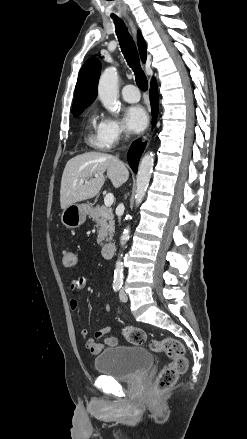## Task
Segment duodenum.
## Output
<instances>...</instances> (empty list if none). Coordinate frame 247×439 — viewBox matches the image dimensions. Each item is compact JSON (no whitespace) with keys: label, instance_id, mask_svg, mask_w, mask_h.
Masks as SVG:
<instances>
[{"label":"duodenum","instance_id":"obj_1","mask_svg":"<svg viewBox=\"0 0 247 439\" xmlns=\"http://www.w3.org/2000/svg\"><path fill=\"white\" fill-rule=\"evenodd\" d=\"M115 252V245L114 243H106L105 245H103L102 249H101V253L103 255V257L105 258H111L113 256Z\"/></svg>","mask_w":247,"mask_h":439}]
</instances>
